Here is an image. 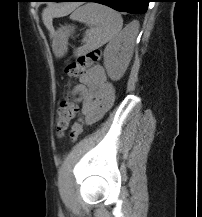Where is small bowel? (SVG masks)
<instances>
[{"label":"small bowel","instance_id":"1","mask_svg":"<svg viewBox=\"0 0 202 217\" xmlns=\"http://www.w3.org/2000/svg\"><path fill=\"white\" fill-rule=\"evenodd\" d=\"M73 93L79 97L81 112L87 124L98 121L111 107L114 99L113 85L100 65L89 68L81 76Z\"/></svg>","mask_w":202,"mask_h":217}]
</instances>
